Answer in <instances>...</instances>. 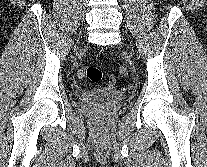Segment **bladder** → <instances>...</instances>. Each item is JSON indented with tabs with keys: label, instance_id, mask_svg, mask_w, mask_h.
<instances>
[{
	"label": "bladder",
	"instance_id": "31cf9c89",
	"mask_svg": "<svg viewBox=\"0 0 207 167\" xmlns=\"http://www.w3.org/2000/svg\"><path fill=\"white\" fill-rule=\"evenodd\" d=\"M124 97V93L117 89H92L83 92L79 99L84 104H114L121 102Z\"/></svg>",
	"mask_w": 207,
	"mask_h": 167
}]
</instances>
